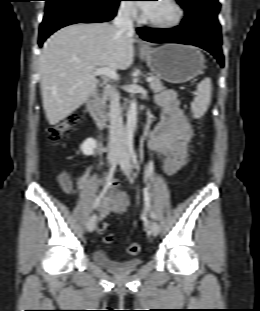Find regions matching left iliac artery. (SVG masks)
I'll list each match as a JSON object with an SVG mask.
<instances>
[{
    "label": "left iliac artery",
    "mask_w": 260,
    "mask_h": 311,
    "mask_svg": "<svg viewBox=\"0 0 260 311\" xmlns=\"http://www.w3.org/2000/svg\"><path fill=\"white\" fill-rule=\"evenodd\" d=\"M128 150H129V153H130V156L132 158V161H133V164H134L135 168L139 171V163H138L137 155H136V152H135V149H134V144H133L132 141L128 142ZM145 200H146V206L149 207L150 206L149 197L146 196ZM150 216L154 220L157 219V216H156L154 211L150 212Z\"/></svg>",
    "instance_id": "obj_1"
}]
</instances>
